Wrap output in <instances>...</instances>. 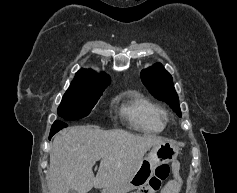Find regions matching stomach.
<instances>
[{"label":"stomach","mask_w":237,"mask_h":193,"mask_svg":"<svg viewBox=\"0 0 237 193\" xmlns=\"http://www.w3.org/2000/svg\"><path fill=\"white\" fill-rule=\"evenodd\" d=\"M178 154L179 147L168 140L153 146L129 179L114 186L104 188L102 193H128L131 190L144 187L149 182L158 165L175 160Z\"/></svg>","instance_id":"1"}]
</instances>
